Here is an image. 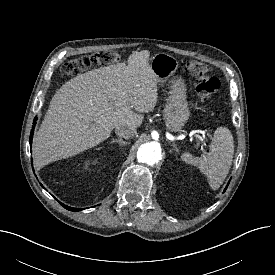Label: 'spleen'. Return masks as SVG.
Here are the masks:
<instances>
[{"label": "spleen", "mask_w": 275, "mask_h": 275, "mask_svg": "<svg viewBox=\"0 0 275 275\" xmlns=\"http://www.w3.org/2000/svg\"><path fill=\"white\" fill-rule=\"evenodd\" d=\"M234 154L233 136L229 129L218 127L206 156L194 157L184 153L181 159L194 165L207 177L212 189H218L229 173Z\"/></svg>", "instance_id": "1"}]
</instances>
